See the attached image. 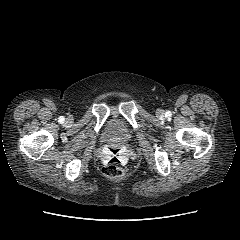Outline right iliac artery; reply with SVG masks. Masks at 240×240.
<instances>
[{
    "instance_id": "right-iliac-artery-1",
    "label": "right iliac artery",
    "mask_w": 240,
    "mask_h": 240,
    "mask_svg": "<svg viewBox=\"0 0 240 240\" xmlns=\"http://www.w3.org/2000/svg\"><path fill=\"white\" fill-rule=\"evenodd\" d=\"M59 121H60V122H63V121H64V118H63V117H60Z\"/></svg>"
}]
</instances>
